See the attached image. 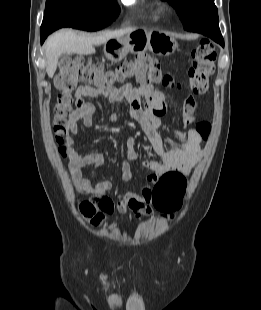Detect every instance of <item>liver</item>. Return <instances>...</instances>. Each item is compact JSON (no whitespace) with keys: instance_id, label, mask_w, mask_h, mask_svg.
Segmentation results:
<instances>
[{"instance_id":"6515ba94","label":"liver","mask_w":261,"mask_h":310,"mask_svg":"<svg viewBox=\"0 0 261 310\" xmlns=\"http://www.w3.org/2000/svg\"><path fill=\"white\" fill-rule=\"evenodd\" d=\"M130 27L117 31L104 32L98 36L78 34L73 30H62L52 34L46 41L45 53L47 59L46 71L50 78L53 77L62 54L89 55L95 53L94 45L105 44L110 39L121 38L135 31Z\"/></svg>"}]
</instances>
